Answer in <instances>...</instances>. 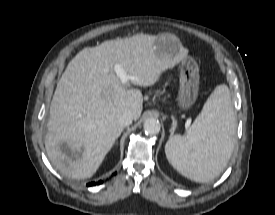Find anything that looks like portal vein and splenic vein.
<instances>
[{"mask_svg": "<svg viewBox=\"0 0 275 215\" xmlns=\"http://www.w3.org/2000/svg\"><path fill=\"white\" fill-rule=\"evenodd\" d=\"M114 71L123 84H126L128 82V80L132 79L131 76L127 75L124 68L120 64H115Z\"/></svg>", "mask_w": 275, "mask_h": 215, "instance_id": "1", "label": "portal vein and splenic vein"}]
</instances>
